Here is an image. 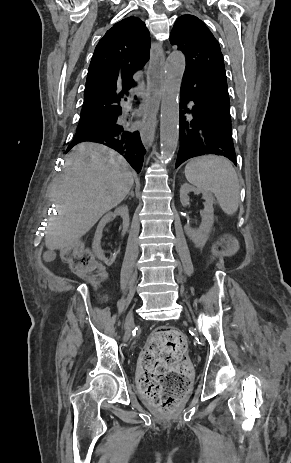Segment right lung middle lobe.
Returning <instances> with one entry per match:
<instances>
[{
	"label": "right lung middle lobe",
	"mask_w": 291,
	"mask_h": 463,
	"mask_svg": "<svg viewBox=\"0 0 291 463\" xmlns=\"http://www.w3.org/2000/svg\"><path fill=\"white\" fill-rule=\"evenodd\" d=\"M96 122L95 120H80L77 130L93 126Z\"/></svg>",
	"instance_id": "1"
}]
</instances>
